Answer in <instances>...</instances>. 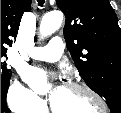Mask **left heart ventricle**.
<instances>
[{
    "label": "left heart ventricle",
    "instance_id": "obj_1",
    "mask_svg": "<svg viewBox=\"0 0 121 113\" xmlns=\"http://www.w3.org/2000/svg\"><path fill=\"white\" fill-rule=\"evenodd\" d=\"M51 102L59 113H98L101 110L99 103L91 98L87 93L76 91L64 86L55 89V95Z\"/></svg>",
    "mask_w": 121,
    "mask_h": 113
}]
</instances>
